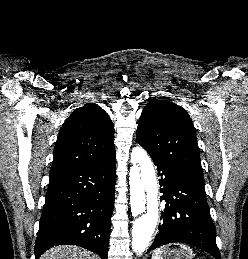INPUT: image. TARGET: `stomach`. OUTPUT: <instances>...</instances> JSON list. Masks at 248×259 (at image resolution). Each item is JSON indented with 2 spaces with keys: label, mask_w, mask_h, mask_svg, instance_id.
Wrapping results in <instances>:
<instances>
[{
  "label": "stomach",
  "mask_w": 248,
  "mask_h": 259,
  "mask_svg": "<svg viewBox=\"0 0 248 259\" xmlns=\"http://www.w3.org/2000/svg\"><path fill=\"white\" fill-rule=\"evenodd\" d=\"M160 249L159 259H193L192 250L185 244H171Z\"/></svg>",
  "instance_id": "0dacf381"
}]
</instances>
